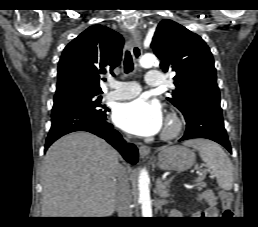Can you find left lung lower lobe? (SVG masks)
<instances>
[{
  "label": "left lung lower lobe",
  "instance_id": "1",
  "mask_svg": "<svg viewBox=\"0 0 258 227\" xmlns=\"http://www.w3.org/2000/svg\"><path fill=\"white\" fill-rule=\"evenodd\" d=\"M186 132L180 141L193 138H207L224 146L229 152L231 145L224 128L222 109L215 106H204L186 118Z\"/></svg>",
  "mask_w": 258,
  "mask_h": 227
}]
</instances>
